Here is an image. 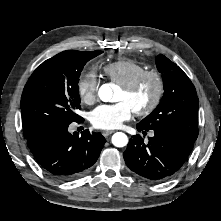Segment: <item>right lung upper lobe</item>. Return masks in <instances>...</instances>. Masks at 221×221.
I'll return each instance as SVG.
<instances>
[{"instance_id":"cb5924a9","label":"right lung upper lobe","mask_w":221,"mask_h":221,"mask_svg":"<svg viewBox=\"0 0 221 221\" xmlns=\"http://www.w3.org/2000/svg\"><path fill=\"white\" fill-rule=\"evenodd\" d=\"M71 51H72V50H68V51L61 52V53L57 54V55L54 56V57H55V58L64 57V56L70 54ZM24 136H25V139H26V140L29 139V138H31V137H33V135H24Z\"/></svg>"}]
</instances>
